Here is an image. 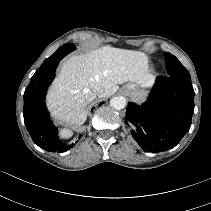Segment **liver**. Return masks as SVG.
I'll return each mask as SVG.
<instances>
[{"instance_id":"obj_1","label":"liver","mask_w":211,"mask_h":211,"mask_svg":"<svg viewBox=\"0 0 211 211\" xmlns=\"http://www.w3.org/2000/svg\"><path fill=\"white\" fill-rule=\"evenodd\" d=\"M154 78L145 53L103 46L71 56L62 63L47 95L48 108L61 123L75 128L87 118V106L97 97L96 85L103 89L99 97H108L119 89L120 84L129 81L144 88ZM60 135L67 138L72 131L65 128Z\"/></svg>"}]
</instances>
